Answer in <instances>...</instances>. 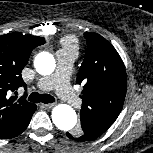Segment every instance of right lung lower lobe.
Wrapping results in <instances>:
<instances>
[{
    "mask_svg": "<svg viewBox=\"0 0 153 153\" xmlns=\"http://www.w3.org/2000/svg\"><path fill=\"white\" fill-rule=\"evenodd\" d=\"M36 109L37 107L35 105L34 109L26 117H24L19 123H17L16 126L10 132H8L5 135L0 136V139L13 138L21 134L29 125L32 115L36 111Z\"/></svg>",
    "mask_w": 153,
    "mask_h": 153,
    "instance_id": "right-lung-lower-lobe-1",
    "label": "right lung lower lobe"
}]
</instances>
